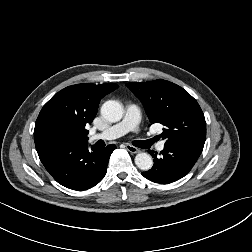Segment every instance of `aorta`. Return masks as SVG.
<instances>
[{"mask_svg": "<svg viewBox=\"0 0 252 252\" xmlns=\"http://www.w3.org/2000/svg\"><path fill=\"white\" fill-rule=\"evenodd\" d=\"M101 114L109 122H118L123 117V107L118 101L108 100L102 105ZM135 164L139 169L146 171L153 166V160L148 153L141 152L135 156Z\"/></svg>", "mask_w": 252, "mask_h": 252, "instance_id": "obj_1", "label": "aorta"}]
</instances>
